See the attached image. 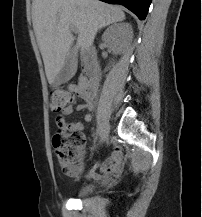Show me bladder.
I'll return each instance as SVG.
<instances>
[{"label":"bladder","mask_w":202,"mask_h":217,"mask_svg":"<svg viewBox=\"0 0 202 217\" xmlns=\"http://www.w3.org/2000/svg\"><path fill=\"white\" fill-rule=\"evenodd\" d=\"M92 190V186L91 185H84L82 186L78 192H77V196L78 197H84L87 194H89V192Z\"/></svg>","instance_id":"bladder-1"}]
</instances>
